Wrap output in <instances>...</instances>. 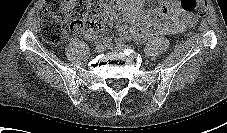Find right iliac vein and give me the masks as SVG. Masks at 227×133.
Instances as JSON below:
<instances>
[{"mask_svg":"<svg viewBox=\"0 0 227 133\" xmlns=\"http://www.w3.org/2000/svg\"><path fill=\"white\" fill-rule=\"evenodd\" d=\"M107 46L105 44L99 43L96 45L95 47V51L96 52H103L104 50H106Z\"/></svg>","mask_w":227,"mask_h":133,"instance_id":"obj_1","label":"right iliac vein"}]
</instances>
